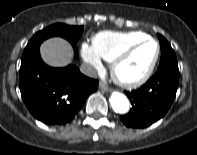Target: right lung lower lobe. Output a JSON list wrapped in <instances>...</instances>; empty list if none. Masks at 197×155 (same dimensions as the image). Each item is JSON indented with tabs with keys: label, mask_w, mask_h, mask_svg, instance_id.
<instances>
[{
	"label": "right lung lower lobe",
	"mask_w": 197,
	"mask_h": 155,
	"mask_svg": "<svg viewBox=\"0 0 197 155\" xmlns=\"http://www.w3.org/2000/svg\"><path fill=\"white\" fill-rule=\"evenodd\" d=\"M97 88L98 81L81 74L73 64L64 68L47 66L39 50L21 61L22 99L30 113L45 124L70 122Z\"/></svg>",
	"instance_id": "right-lung-lower-lobe-1"
}]
</instances>
